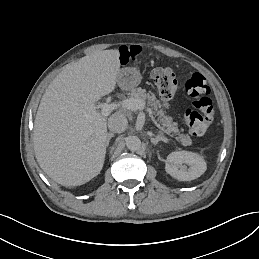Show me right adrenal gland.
<instances>
[{"label":"right adrenal gland","mask_w":259,"mask_h":259,"mask_svg":"<svg viewBox=\"0 0 259 259\" xmlns=\"http://www.w3.org/2000/svg\"><path fill=\"white\" fill-rule=\"evenodd\" d=\"M114 136V134L112 133H107V140H106V147L109 146V142L111 140V138Z\"/></svg>","instance_id":"right-adrenal-gland-1"}]
</instances>
